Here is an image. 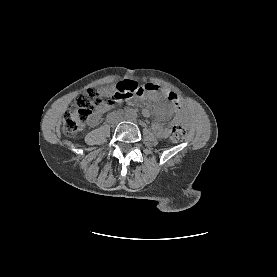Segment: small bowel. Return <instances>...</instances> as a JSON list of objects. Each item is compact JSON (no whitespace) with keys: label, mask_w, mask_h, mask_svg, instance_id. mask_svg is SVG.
Segmentation results:
<instances>
[{"label":"small bowel","mask_w":277,"mask_h":277,"mask_svg":"<svg viewBox=\"0 0 277 277\" xmlns=\"http://www.w3.org/2000/svg\"><path fill=\"white\" fill-rule=\"evenodd\" d=\"M148 87L150 88L146 89V92L154 94L157 100L164 101V102H155L151 105L152 111L159 119V121H156L152 124V129L158 137L167 138L170 135V128L164 126L160 121L166 119L174 111L176 104L178 103V97L174 92L160 89L156 85L149 84ZM142 114L148 117L150 116L151 111L148 108H144L142 110ZM182 120L187 121L183 116L182 110L178 109L177 116L172 121V125ZM99 121H100V112H97L93 115L91 119V123L95 125V124H98Z\"/></svg>","instance_id":"small-bowel-1"}]
</instances>
